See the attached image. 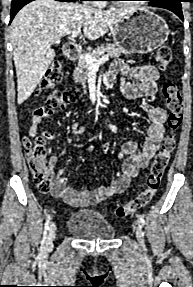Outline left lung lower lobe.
I'll use <instances>...</instances> for the list:
<instances>
[{
  "label": "left lung lower lobe",
  "instance_id": "1",
  "mask_svg": "<svg viewBox=\"0 0 193 287\" xmlns=\"http://www.w3.org/2000/svg\"><path fill=\"white\" fill-rule=\"evenodd\" d=\"M182 1L183 0H164L162 2H159L157 4H153V5H149V6L168 9V10L174 12L183 21L184 19H183L182 8H181V2Z\"/></svg>",
  "mask_w": 193,
  "mask_h": 287
}]
</instances>
